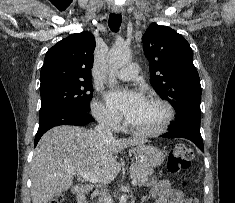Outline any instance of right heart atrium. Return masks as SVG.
<instances>
[{
    "instance_id": "1",
    "label": "right heart atrium",
    "mask_w": 235,
    "mask_h": 203,
    "mask_svg": "<svg viewBox=\"0 0 235 203\" xmlns=\"http://www.w3.org/2000/svg\"><path fill=\"white\" fill-rule=\"evenodd\" d=\"M92 113L98 122L105 127L117 129L120 126V118L100 100H95L92 103Z\"/></svg>"
}]
</instances>
